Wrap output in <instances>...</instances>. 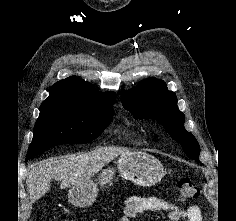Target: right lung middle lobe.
<instances>
[{"mask_svg": "<svg viewBox=\"0 0 236 221\" xmlns=\"http://www.w3.org/2000/svg\"><path fill=\"white\" fill-rule=\"evenodd\" d=\"M112 105L92 108L41 105L26 159L59 144H84L97 138L112 121Z\"/></svg>", "mask_w": 236, "mask_h": 221, "instance_id": "dd1d6c3e", "label": "right lung middle lobe"}]
</instances>
